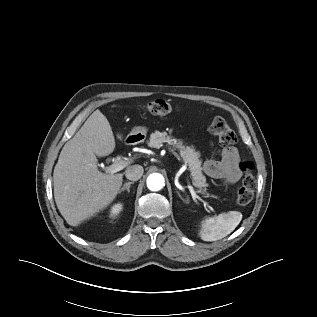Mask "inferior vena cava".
<instances>
[{"label":"inferior vena cava","mask_w":317,"mask_h":317,"mask_svg":"<svg viewBox=\"0 0 317 317\" xmlns=\"http://www.w3.org/2000/svg\"><path fill=\"white\" fill-rule=\"evenodd\" d=\"M143 173L144 169L141 165H132L125 170L126 178L132 181H137L140 179Z\"/></svg>","instance_id":"obj_1"}]
</instances>
